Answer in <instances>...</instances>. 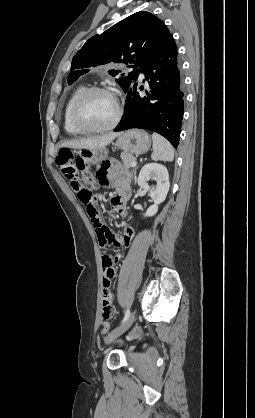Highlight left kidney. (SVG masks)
<instances>
[{"instance_id": "1", "label": "left kidney", "mask_w": 255, "mask_h": 418, "mask_svg": "<svg viewBox=\"0 0 255 418\" xmlns=\"http://www.w3.org/2000/svg\"><path fill=\"white\" fill-rule=\"evenodd\" d=\"M153 179L156 181L155 187L151 188L147 181ZM138 185L149 191L154 204L148 208L144 214L146 217L154 216L158 212V205L162 203L169 191V175L166 167L158 163H148L144 165L138 176Z\"/></svg>"}]
</instances>
